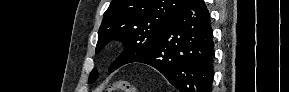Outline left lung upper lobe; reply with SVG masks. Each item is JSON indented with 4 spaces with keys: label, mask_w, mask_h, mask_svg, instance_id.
I'll return each instance as SVG.
<instances>
[{
    "label": "left lung upper lobe",
    "mask_w": 289,
    "mask_h": 92,
    "mask_svg": "<svg viewBox=\"0 0 289 92\" xmlns=\"http://www.w3.org/2000/svg\"><path fill=\"white\" fill-rule=\"evenodd\" d=\"M188 0H112L104 13L98 32L96 53L112 39L124 43L125 49L109 71L132 62L149 51L164 28L175 18ZM95 69L89 83L98 78Z\"/></svg>",
    "instance_id": "5c2ea615"
}]
</instances>
